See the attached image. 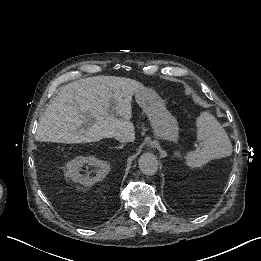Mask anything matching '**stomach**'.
I'll use <instances>...</instances> for the list:
<instances>
[{"instance_id":"1","label":"stomach","mask_w":261,"mask_h":261,"mask_svg":"<svg viewBox=\"0 0 261 261\" xmlns=\"http://www.w3.org/2000/svg\"><path fill=\"white\" fill-rule=\"evenodd\" d=\"M135 99L149 118L154 135L161 139L176 141L179 133L177 120L166 109L161 97L155 91L143 88L135 93Z\"/></svg>"}]
</instances>
